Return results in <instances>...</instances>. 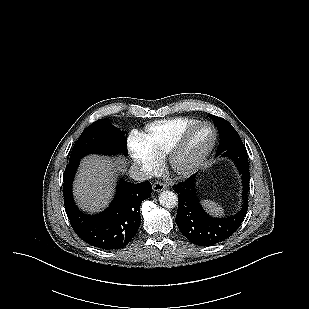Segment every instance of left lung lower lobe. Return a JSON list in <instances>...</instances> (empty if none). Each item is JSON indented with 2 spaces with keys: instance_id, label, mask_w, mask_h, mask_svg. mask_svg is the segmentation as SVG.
<instances>
[{
  "instance_id": "0a47b994",
  "label": "left lung lower lobe",
  "mask_w": 309,
  "mask_h": 309,
  "mask_svg": "<svg viewBox=\"0 0 309 309\" xmlns=\"http://www.w3.org/2000/svg\"><path fill=\"white\" fill-rule=\"evenodd\" d=\"M219 155L231 158L242 175L244 204L236 215L213 218L203 210L196 194V174L173 186L179 202L176 223L182 234L199 246L215 245L226 240L236 232L247 214L250 174L246 148L233 147L217 152L216 156Z\"/></svg>"
}]
</instances>
